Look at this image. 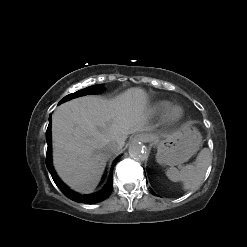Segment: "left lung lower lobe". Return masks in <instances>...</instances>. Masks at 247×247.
I'll return each mask as SVG.
<instances>
[{"mask_svg": "<svg viewBox=\"0 0 247 247\" xmlns=\"http://www.w3.org/2000/svg\"><path fill=\"white\" fill-rule=\"evenodd\" d=\"M154 195H156L153 191H152V189L150 190Z\"/></svg>", "mask_w": 247, "mask_h": 247, "instance_id": "left-lung-lower-lobe-1", "label": "left lung lower lobe"}]
</instances>
